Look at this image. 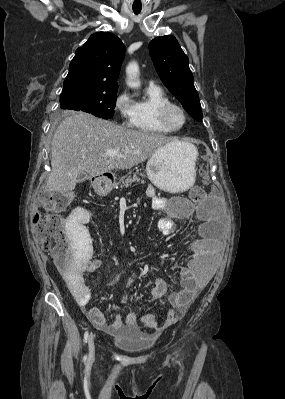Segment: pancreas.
Listing matches in <instances>:
<instances>
[{"label":"pancreas","mask_w":285,"mask_h":399,"mask_svg":"<svg viewBox=\"0 0 285 399\" xmlns=\"http://www.w3.org/2000/svg\"><path fill=\"white\" fill-rule=\"evenodd\" d=\"M120 182H121V185H120L121 188L128 187L129 185H131L134 182L144 183V181L140 180V178L137 177V175H135V174H133V176H131V175L127 176L126 175V176L122 177Z\"/></svg>","instance_id":"obj_1"}]
</instances>
